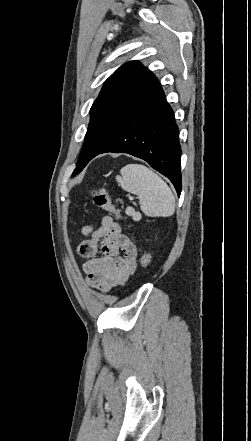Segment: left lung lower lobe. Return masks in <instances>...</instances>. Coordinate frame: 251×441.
Returning a JSON list of instances; mask_svg holds the SVG:
<instances>
[{"label":"left lung lower lobe","instance_id":"0a47b994","mask_svg":"<svg viewBox=\"0 0 251 441\" xmlns=\"http://www.w3.org/2000/svg\"><path fill=\"white\" fill-rule=\"evenodd\" d=\"M83 168L95 156L128 153L169 178L181 193V147L173 110L157 83L126 115H105L92 123L84 141Z\"/></svg>","mask_w":251,"mask_h":441}]
</instances>
